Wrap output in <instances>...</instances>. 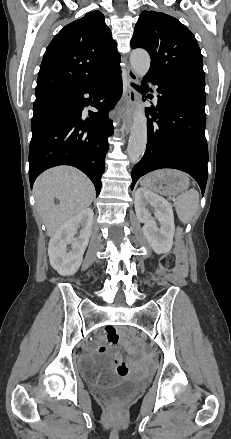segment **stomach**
I'll return each mask as SVG.
<instances>
[{
    "label": "stomach",
    "instance_id": "stomach-1",
    "mask_svg": "<svg viewBox=\"0 0 231 439\" xmlns=\"http://www.w3.org/2000/svg\"><path fill=\"white\" fill-rule=\"evenodd\" d=\"M143 185L166 196H174L189 187L186 174L172 169L158 170L148 174L142 180Z\"/></svg>",
    "mask_w": 231,
    "mask_h": 439
}]
</instances>
